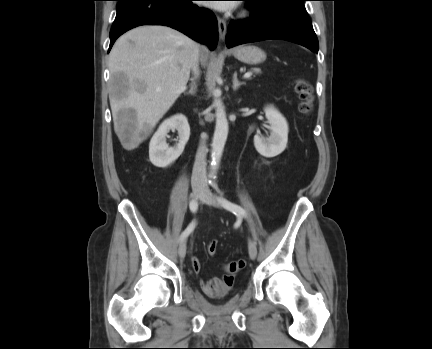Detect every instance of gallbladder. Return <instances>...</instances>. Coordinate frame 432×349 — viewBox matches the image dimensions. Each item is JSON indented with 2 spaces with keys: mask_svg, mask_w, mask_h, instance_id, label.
<instances>
[{
  "mask_svg": "<svg viewBox=\"0 0 432 349\" xmlns=\"http://www.w3.org/2000/svg\"><path fill=\"white\" fill-rule=\"evenodd\" d=\"M118 76H119V77H122L123 75H122V74H119ZM118 117H119V114H118Z\"/></svg>",
  "mask_w": 432,
  "mask_h": 349,
  "instance_id": "1",
  "label": "gallbladder"
}]
</instances>
